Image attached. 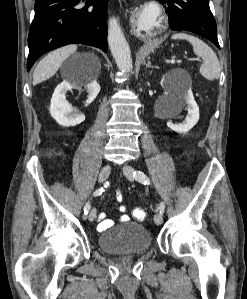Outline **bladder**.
<instances>
[{"label":"bladder","instance_id":"1","mask_svg":"<svg viewBox=\"0 0 247 299\" xmlns=\"http://www.w3.org/2000/svg\"><path fill=\"white\" fill-rule=\"evenodd\" d=\"M151 244L149 230L144 225L131 221L107 229L98 237L99 247L104 252L116 255L143 253Z\"/></svg>","mask_w":247,"mask_h":299}]
</instances>
